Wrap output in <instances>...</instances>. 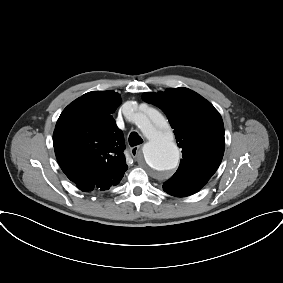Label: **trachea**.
Masks as SVG:
<instances>
[{"instance_id":"1","label":"trachea","mask_w":283,"mask_h":283,"mask_svg":"<svg viewBox=\"0 0 283 283\" xmlns=\"http://www.w3.org/2000/svg\"><path fill=\"white\" fill-rule=\"evenodd\" d=\"M143 143V140L142 138L138 135V133L136 132H132L130 135H129V144L130 146H136V145H139Z\"/></svg>"}]
</instances>
